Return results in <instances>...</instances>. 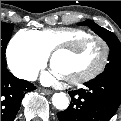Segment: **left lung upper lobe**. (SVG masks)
Here are the masks:
<instances>
[{"label": "left lung upper lobe", "instance_id": "obj_1", "mask_svg": "<svg viewBox=\"0 0 121 121\" xmlns=\"http://www.w3.org/2000/svg\"><path fill=\"white\" fill-rule=\"evenodd\" d=\"M79 25L89 26L96 34H98L110 48V57L107 68L101 75H109L117 78H121V43L118 38L112 32L107 29L98 26L91 20L80 22Z\"/></svg>", "mask_w": 121, "mask_h": 121}]
</instances>
